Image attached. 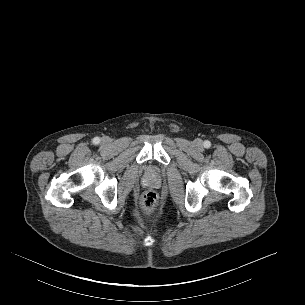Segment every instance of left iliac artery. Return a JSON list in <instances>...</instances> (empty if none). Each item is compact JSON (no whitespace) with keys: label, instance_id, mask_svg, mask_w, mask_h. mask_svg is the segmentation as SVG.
I'll use <instances>...</instances> for the list:
<instances>
[{"label":"left iliac artery","instance_id":"obj_1","mask_svg":"<svg viewBox=\"0 0 305 305\" xmlns=\"http://www.w3.org/2000/svg\"><path fill=\"white\" fill-rule=\"evenodd\" d=\"M210 146H211V142L208 141V140H206V141L204 142V147H205V148H210Z\"/></svg>","mask_w":305,"mask_h":305}]
</instances>
